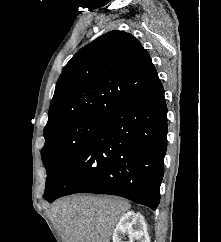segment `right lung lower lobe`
<instances>
[{
    "instance_id": "1",
    "label": "right lung lower lobe",
    "mask_w": 221,
    "mask_h": 242,
    "mask_svg": "<svg viewBox=\"0 0 221 242\" xmlns=\"http://www.w3.org/2000/svg\"><path fill=\"white\" fill-rule=\"evenodd\" d=\"M167 106L157 78L103 119L85 141L46 199L74 193L125 197L155 210L167 147Z\"/></svg>"
}]
</instances>
